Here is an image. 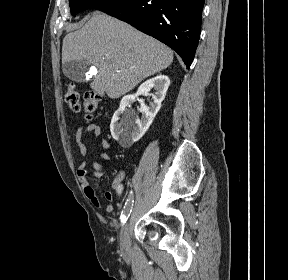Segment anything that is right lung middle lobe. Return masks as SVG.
I'll return each instance as SVG.
<instances>
[{"mask_svg":"<svg viewBox=\"0 0 288 280\" xmlns=\"http://www.w3.org/2000/svg\"><path fill=\"white\" fill-rule=\"evenodd\" d=\"M117 0H69L71 14L76 16L77 13L86 9L97 8L113 3Z\"/></svg>","mask_w":288,"mask_h":280,"instance_id":"1","label":"right lung middle lobe"}]
</instances>
